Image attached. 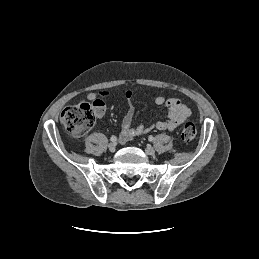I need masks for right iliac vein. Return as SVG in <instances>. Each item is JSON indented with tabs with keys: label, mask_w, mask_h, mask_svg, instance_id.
<instances>
[{
	"label": "right iliac vein",
	"mask_w": 259,
	"mask_h": 259,
	"mask_svg": "<svg viewBox=\"0 0 259 259\" xmlns=\"http://www.w3.org/2000/svg\"><path fill=\"white\" fill-rule=\"evenodd\" d=\"M108 149L110 152H114L116 150V145L114 143H110L108 145Z\"/></svg>",
	"instance_id": "1"
}]
</instances>
